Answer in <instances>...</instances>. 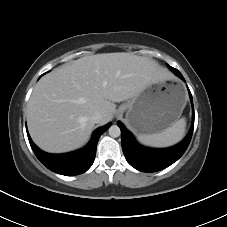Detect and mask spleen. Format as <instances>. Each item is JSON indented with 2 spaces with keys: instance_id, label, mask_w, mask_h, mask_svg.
<instances>
[{
  "instance_id": "obj_1",
  "label": "spleen",
  "mask_w": 227,
  "mask_h": 227,
  "mask_svg": "<svg viewBox=\"0 0 227 227\" xmlns=\"http://www.w3.org/2000/svg\"><path fill=\"white\" fill-rule=\"evenodd\" d=\"M186 127L185 118L176 121L164 131L155 134H140L137 139L140 143L152 147H168L182 140Z\"/></svg>"
}]
</instances>
